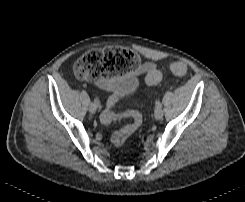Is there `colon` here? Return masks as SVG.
Returning a JSON list of instances; mask_svg holds the SVG:
<instances>
[{
    "instance_id": "obj_1",
    "label": "colon",
    "mask_w": 245,
    "mask_h": 202,
    "mask_svg": "<svg viewBox=\"0 0 245 202\" xmlns=\"http://www.w3.org/2000/svg\"><path fill=\"white\" fill-rule=\"evenodd\" d=\"M138 57L126 47H106L92 49L82 54L74 63L75 73L87 80H98L101 77L113 78L123 75L135 67ZM170 71L175 75H184L187 66L184 62L175 61L170 64ZM162 77L161 71L154 73L155 79ZM120 118H130L133 122L120 130L113 132L110 142L114 147L121 148L126 140L134 135L142 124V117L135 110H128L117 114L107 105L101 114V121L104 124H111Z\"/></svg>"
}]
</instances>
